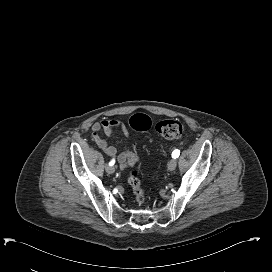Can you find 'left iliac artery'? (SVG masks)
I'll list each match as a JSON object with an SVG mask.
<instances>
[{
    "mask_svg": "<svg viewBox=\"0 0 272 272\" xmlns=\"http://www.w3.org/2000/svg\"><path fill=\"white\" fill-rule=\"evenodd\" d=\"M179 155H180V151L178 149H176L172 152V158H174V159L178 158Z\"/></svg>",
    "mask_w": 272,
    "mask_h": 272,
    "instance_id": "1",
    "label": "left iliac artery"
}]
</instances>
